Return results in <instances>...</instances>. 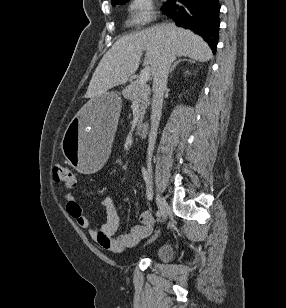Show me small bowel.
<instances>
[{"mask_svg":"<svg viewBox=\"0 0 286 308\" xmlns=\"http://www.w3.org/2000/svg\"><path fill=\"white\" fill-rule=\"evenodd\" d=\"M66 210L75 220L76 224L87 230L89 236L96 241L102 248L114 253L134 247L141 239L148 237L154 227V219L150 212L144 211L140 214V223L133 226L132 229L124 234L116 236L119 228L120 217L116 208L115 200L112 197L104 198L100 206L106 212V220L103 224L91 228L90 220L85 215L80 202L71 195L65 196Z\"/></svg>","mask_w":286,"mask_h":308,"instance_id":"c3829d8e","label":"small bowel"}]
</instances>
